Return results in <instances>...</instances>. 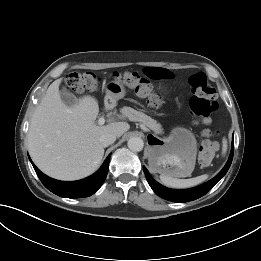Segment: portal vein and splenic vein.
I'll return each instance as SVG.
<instances>
[{
  "instance_id": "18ae733b",
  "label": "portal vein and splenic vein",
  "mask_w": 261,
  "mask_h": 261,
  "mask_svg": "<svg viewBox=\"0 0 261 261\" xmlns=\"http://www.w3.org/2000/svg\"><path fill=\"white\" fill-rule=\"evenodd\" d=\"M105 123V119L103 117L99 118L98 124L103 125Z\"/></svg>"
}]
</instances>
